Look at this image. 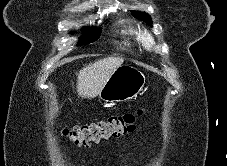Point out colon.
I'll return each instance as SVG.
<instances>
[{
	"mask_svg": "<svg viewBox=\"0 0 227 166\" xmlns=\"http://www.w3.org/2000/svg\"><path fill=\"white\" fill-rule=\"evenodd\" d=\"M142 111L112 115L106 120L61 129L62 136L78 146L88 147L102 140L117 138L136 129Z\"/></svg>",
	"mask_w": 227,
	"mask_h": 166,
	"instance_id": "5ec220e1",
	"label": "colon"
}]
</instances>
